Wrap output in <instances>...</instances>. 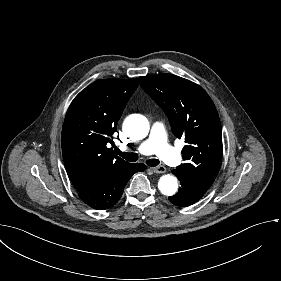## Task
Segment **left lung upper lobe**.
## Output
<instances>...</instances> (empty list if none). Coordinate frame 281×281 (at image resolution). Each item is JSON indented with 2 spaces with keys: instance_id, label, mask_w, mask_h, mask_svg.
Segmentation results:
<instances>
[{
  "instance_id": "1",
  "label": "left lung upper lobe",
  "mask_w": 281,
  "mask_h": 281,
  "mask_svg": "<svg viewBox=\"0 0 281 281\" xmlns=\"http://www.w3.org/2000/svg\"><path fill=\"white\" fill-rule=\"evenodd\" d=\"M141 87L164 110L172 132L184 138L180 178L207 191L222 162L221 123L214 103L199 85L172 74L140 77Z\"/></svg>"
}]
</instances>
